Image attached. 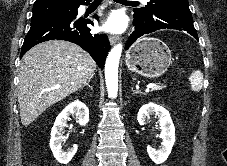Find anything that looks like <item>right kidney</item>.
Segmentation results:
<instances>
[{
  "label": "right kidney",
  "mask_w": 227,
  "mask_h": 166,
  "mask_svg": "<svg viewBox=\"0 0 227 166\" xmlns=\"http://www.w3.org/2000/svg\"><path fill=\"white\" fill-rule=\"evenodd\" d=\"M76 116L78 123L85 126L89 122L88 107L81 101H74L70 103L65 109L57 116L54 126L51 129L50 148L53 152L55 159L61 164H67L74 157L77 152V145H74L69 151L62 150V142L65 139L64 132L67 120L70 116Z\"/></svg>",
  "instance_id": "obj_1"
}]
</instances>
